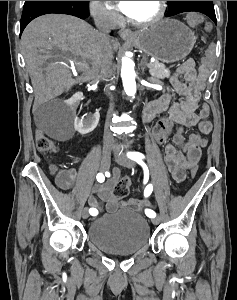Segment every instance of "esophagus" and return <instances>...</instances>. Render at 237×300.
I'll use <instances>...</instances> for the list:
<instances>
[{
	"mask_svg": "<svg viewBox=\"0 0 237 300\" xmlns=\"http://www.w3.org/2000/svg\"><path fill=\"white\" fill-rule=\"evenodd\" d=\"M119 36L125 40L137 38V34L132 33V31H130V29H126V28L120 29Z\"/></svg>",
	"mask_w": 237,
	"mask_h": 300,
	"instance_id": "esophagus-1",
	"label": "esophagus"
}]
</instances>
